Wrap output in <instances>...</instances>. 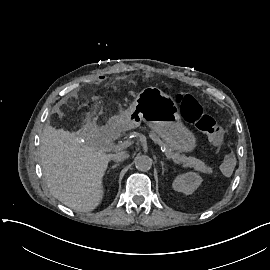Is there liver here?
<instances>
[{
    "label": "liver",
    "mask_w": 270,
    "mask_h": 270,
    "mask_svg": "<svg viewBox=\"0 0 270 270\" xmlns=\"http://www.w3.org/2000/svg\"><path fill=\"white\" fill-rule=\"evenodd\" d=\"M43 174L51 194L66 206L82 212L95 210L103 201V178L112 155L93 140L81 141L76 133L55 129L50 123L40 135Z\"/></svg>",
    "instance_id": "liver-1"
}]
</instances>
